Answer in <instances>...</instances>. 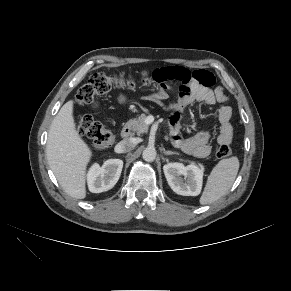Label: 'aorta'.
I'll return each mask as SVG.
<instances>
[{"instance_id": "1", "label": "aorta", "mask_w": 291, "mask_h": 291, "mask_svg": "<svg viewBox=\"0 0 291 291\" xmlns=\"http://www.w3.org/2000/svg\"><path fill=\"white\" fill-rule=\"evenodd\" d=\"M142 157L147 162H152L156 158V150L153 147H147L143 150Z\"/></svg>"}]
</instances>
